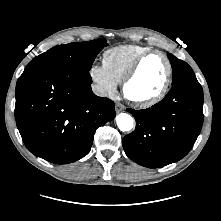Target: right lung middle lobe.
Here are the masks:
<instances>
[{"label": "right lung middle lobe", "instance_id": "1", "mask_svg": "<svg viewBox=\"0 0 221 221\" xmlns=\"http://www.w3.org/2000/svg\"><path fill=\"white\" fill-rule=\"evenodd\" d=\"M106 45V40L104 39L58 45L33 58L27 66L57 64L89 71L96 55Z\"/></svg>", "mask_w": 221, "mask_h": 221}]
</instances>
